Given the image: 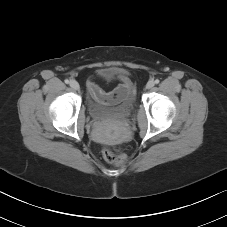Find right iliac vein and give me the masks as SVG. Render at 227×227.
I'll list each match as a JSON object with an SVG mask.
<instances>
[{"mask_svg":"<svg viewBox=\"0 0 227 227\" xmlns=\"http://www.w3.org/2000/svg\"><path fill=\"white\" fill-rule=\"evenodd\" d=\"M70 86L74 90H79V88H80L79 83L76 80H71L70 81Z\"/></svg>","mask_w":227,"mask_h":227,"instance_id":"obj_1","label":"right iliac vein"}]
</instances>
